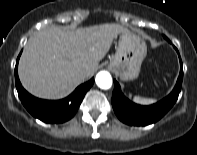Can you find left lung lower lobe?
Masks as SVG:
<instances>
[{
    "label": "left lung lower lobe",
    "mask_w": 197,
    "mask_h": 155,
    "mask_svg": "<svg viewBox=\"0 0 197 155\" xmlns=\"http://www.w3.org/2000/svg\"><path fill=\"white\" fill-rule=\"evenodd\" d=\"M179 59L180 75L173 91L161 101L149 106H142L131 102L123 95L120 85L114 80L112 106L115 114L123 123L131 126H146L158 121L171 109L178 99L183 79V66L180 55Z\"/></svg>",
    "instance_id": "0a47b994"
}]
</instances>
